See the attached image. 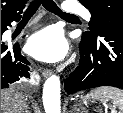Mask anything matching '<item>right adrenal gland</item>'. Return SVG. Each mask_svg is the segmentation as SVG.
<instances>
[{
	"label": "right adrenal gland",
	"mask_w": 123,
	"mask_h": 113,
	"mask_svg": "<svg viewBox=\"0 0 123 113\" xmlns=\"http://www.w3.org/2000/svg\"><path fill=\"white\" fill-rule=\"evenodd\" d=\"M25 113H31L29 105H26V107H25Z\"/></svg>",
	"instance_id": "obj_1"
}]
</instances>
